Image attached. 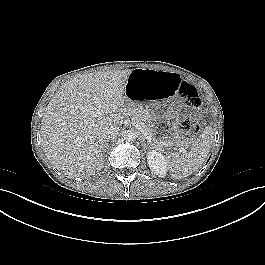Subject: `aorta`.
I'll return each mask as SVG.
<instances>
[{"instance_id": "aorta-1", "label": "aorta", "mask_w": 265, "mask_h": 265, "mask_svg": "<svg viewBox=\"0 0 265 265\" xmlns=\"http://www.w3.org/2000/svg\"><path fill=\"white\" fill-rule=\"evenodd\" d=\"M123 138L127 141H133L136 138V133L132 129L125 130L123 132Z\"/></svg>"}]
</instances>
